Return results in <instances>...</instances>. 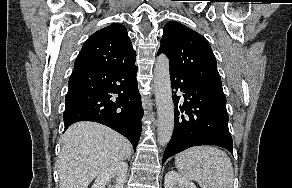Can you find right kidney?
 <instances>
[{
  "instance_id": "obj_1",
  "label": "right kidney",
  "mask_w": 292,
  "mask_h": 188,
  "mask_svg": "<svg viewBox=\"0 0 292 188\" xmlns=\"http://www.w3.org/2000/svg\"><path fill=\"white\" fill-rule=\"evenodd\" d=\"M128 164L126 162H118L100 173L91 188H106L112 179L114 184H109L108 188H123L125 183Z\"/></svg>"
}]
</instances>
